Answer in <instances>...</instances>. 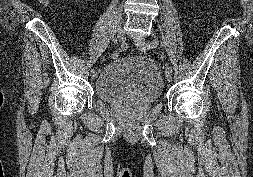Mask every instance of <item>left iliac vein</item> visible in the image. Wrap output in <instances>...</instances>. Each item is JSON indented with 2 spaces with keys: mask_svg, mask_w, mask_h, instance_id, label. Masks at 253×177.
Here are the masks:
<instances>
[{
  "mask_svg": "<svg viewBox=\"0 0 253 177\" xmlns=\"http://www.w3.org/2000/svg\"><path fill=\"white\" fill-rule=\"evenodd\" d=\"M134 43L136 45V47L140 50H146L144 48V44L146 43V40L143 38V37H136L134 39ZM165 76H166V79L167 81H172V72H165Z\"/></svg>",
  "mask_w": 253,
  "mask_h": 177,
  "instance_id": "1",
  "label": "left iliac vein"
}]
</instances>
